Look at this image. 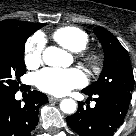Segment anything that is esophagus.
<instances>
[{
    "mask_svg": "<svg viewBox=\"0 0 136 136\" xmlns=\"http://www.w3.org/2000/svg\"><path fill=\"white\" fill-rule=\"evenodd\" d=\"M49 101H51V102H58V101H61V99L53 97V96H49Z\"/></svg>",
    "mask_w": 136,
    "mask_h": 136,
    "instance_id": "esophagus-1",
    "label": "esophagus"
}]
</instances>
